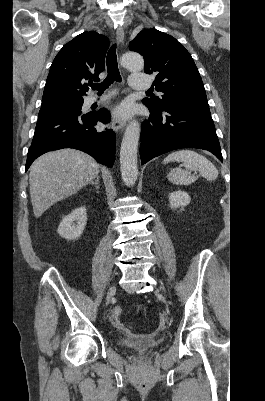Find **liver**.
Returning <instances> with one entry per match:
<instances>
[{"label":"liver","mask_w":265,"mask_h":401,"mask_svg":"<svg viewBox=\"0 0 265 401\" xmlns=\"http://www.w3.org/2000/svg\"><path fill=\"white\" fill-rule=\"evenodd\" d=\"M100 164L85 152L62 148L46 152L30 166V196L38 219L52 205L71 196L98 176Z\"/></svg>","instance_id":"6515ba94"}]
</instances>
